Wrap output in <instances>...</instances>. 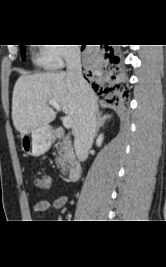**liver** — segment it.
Instances as JSON below:
<instances>
[{"label":"liver","instance_id":"liver-1","mask_svg":"<svg viewBox=\"0 0 166 267\" xmlns=\"http://www.w3.org/2000/svg\"><path fill=\"white\" fill-rule=\"evenodd\" d=\"M92 96L95 111L98 112L93 91ZM82 98L81 91L75 87L66 72L23 74L16 81L13 90V125L21 137L37 127L48 125L56 117V112L48 102L55 101L72 118V133L75 135L80 121Z\"/></svg>","mask_w":166,"mask_h":267}]
</instances>
